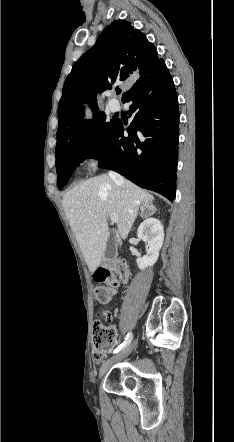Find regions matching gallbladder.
I'll return each mask as SVG.
<instances>
[{
	"mask_svg": "<svg viewBox=\"0 0 234 442\" xmlns=\"http://www.w3.org/2000/svg\"><path fill=\"white\" fill-rule=\"evenodd\" d=\"M115 253V242H114V232L111 233L109 240L107 242L106 250H105V258L110 260L113 258Z\"/></svg>",
	"mask_w": 234,
	"mask_h": 442,
	"instance_id": "gallbladder-1",
	"label": "gallbladder"
}]
</instances>
